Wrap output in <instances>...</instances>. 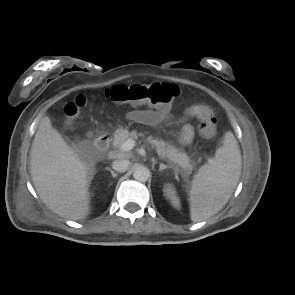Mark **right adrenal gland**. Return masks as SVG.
<instances>
[{"label": "right adrenal gland", "instance_id": "obj_1", "mask_svg": "<svg viewBox=\"0 0 295 295\" xmlns=\"http://www.w3.org/2000/svg\"><path fill=\"white\" fill-rule=\"evenodd\" d=\"M106 170L109 171V172L111 173V175H112L113 178H115V177L118 176V174L115 173L110 167H106Z\"/></svg>", "mask_w": 295, "mask_h": 295}]
</instances>
